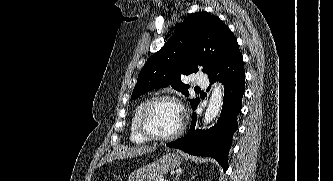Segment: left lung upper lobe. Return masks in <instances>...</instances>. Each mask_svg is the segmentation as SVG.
<instances>
[{"mask_svg":"<svg viewBox=\"0 0 333 181\" xmlns=\"http://www.w3.org/2000/svg\"><path fill=\"white\" fill-rule=\"evenodd\" d=\"M237 46L236 38L218 17L205 11L191 14L164 47L149 57L131 99L169 85L188 96L189 86L181 76L195 73L200 67L209 76ZM198 103V98L190 100L192 108Z\"/></svg>","mask_w":333,"mask_h":181,"instance_id":"5c2ea615","label":"left lung upper lobe"}]
</instances>
